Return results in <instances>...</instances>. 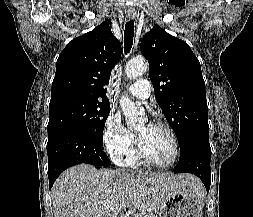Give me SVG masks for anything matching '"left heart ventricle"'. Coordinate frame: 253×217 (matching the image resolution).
Instances as JSON below:
<instances>
[{
    "label": "left heart ventricle",
    "mask_w": 253,
    "mask_h": 217,
    "mask_svg": "<svg viewBox=\"0 0 253 217\" xmlns=\"http://www.w3.org/2000/svg\"><path fill=\"white\" fill-rule=\"evenodd\" d=\"M143 152L154 163L166 164L173 155V144L168 132L162 128L142 123L136 129Z\"/></svg>",
    "instance_id": "left-heart-ventricle-1"
}]
</instances>
